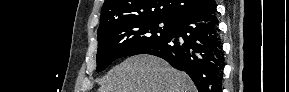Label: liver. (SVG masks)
<instances>
[{"label": "liver", "mask_w": 289, "mask_h": 92, "mask_svg": "<svg viewBox=\"0 0 289 92\" xmlns=\"http://www.w3.org/2000/svg\"><path fill=\"white\" fill-rule=\"evenodd\" d=\"M98 92H196V87L163 59L136 55L111 69Z\"/></svg>", "instance_id": "6515ba94"}]
</instances>
